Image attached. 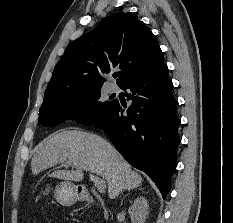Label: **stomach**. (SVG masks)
<instances>
[{"label":"stomach","mask_w":233,"mask_h":223,"mask_svg":"<svg viewBox=\"0 0 233 223\" xmlns=\"http://www.w3.org/2000/svg\"><path fill=\"white\" fill-rule=\"evenodd\" d=\"M50 191H52V187L48 185L45 187L43 195H49ZM53 197L61 205H74L79 199L78 185L72 181H60L53 189Z\"/></svg>","instance_id":"stomach-1"}]
</instances>
